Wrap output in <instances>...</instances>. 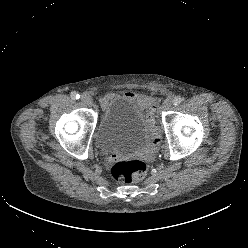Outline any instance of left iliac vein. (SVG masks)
Wrapping results in <instances>:
<instances>
[{"mask_svg":"<svg viewBox=\"0 0 248 248\" xmlns=\"http://www.w3.org/2000/svg\"><path fill=\"white\" fill-rule=\"evenodd\" d=\"M171 107H172V101L170 99H166L163 102L162 109L166 111L169 110Z\"/></svg>","mask_w":248,"mask_h":248,"instance_id":"obj_1","label":"left iliac vein"}]
</instances>
